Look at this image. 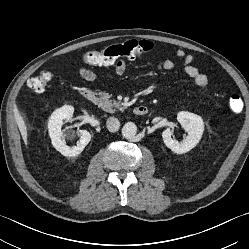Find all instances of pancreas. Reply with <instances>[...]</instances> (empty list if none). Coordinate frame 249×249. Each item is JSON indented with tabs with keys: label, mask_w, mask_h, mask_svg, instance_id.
<instances>
[{
	"label": "pancreas",
	"mask_w": 249,
	"mask_h": 249,
	"mask_svg": "<svg viewBox=\"0 0 249 249\" xmlns=\"http://www.w3.org/2000/svg\"><path fill=\"white\" fill-rule=\"evenodd\" d=\"M111 95L105 92L100 93V99L98 101V106L101 107L104 111L114 113L117 109L123 110L124 106L116 100H110Z\"/></svg>",
	"instance_id": "pancreas-1"
}]
</instances>
